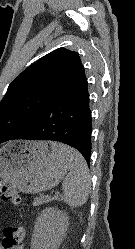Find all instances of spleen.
<instances>
[{"mask_svg":"<svg viewBox=\"0 0 135 249\" xmlns=\"http://www.w3.org/2000/svg\"><path fill=\"white\" fill-rule=\"evenodd\" d=\"M52 150L69 164V173L63 180V200L70 207L83 206L91 190V176L83 156L74 148L64 144L52 143Z\"/></svg>","mask_w":135,"mask_h":249,"instance_id":"obj_1","label":"spleen"}]
</instances>
